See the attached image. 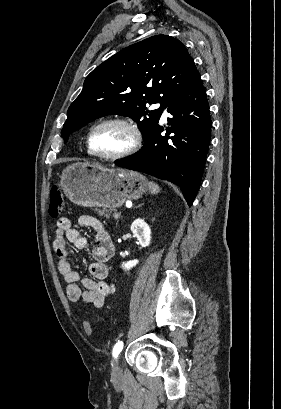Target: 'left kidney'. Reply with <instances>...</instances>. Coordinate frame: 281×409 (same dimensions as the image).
Instances as JSON below:
<instances>
[{
	"instance_id": "5707ae66",
	"label": "left kidney",
	"mask_w": 281,
	"mask_h": 409,
	"mask_svg": "<svg viewBox=\"0 0 281 409\" xmlns=\"http://www.w3.org/2000/svg\"><path fill=\"white\" fill-rule=\"evenodd\" d=\"M133 237L138 239L141 247H148L151 241V229L147 223H145L144 219H135L130 227ZM138 259H134V261H127V263H123L122 269L125 271H130L133 267L138 265Z\"/></svg>"
}]
</instances>
